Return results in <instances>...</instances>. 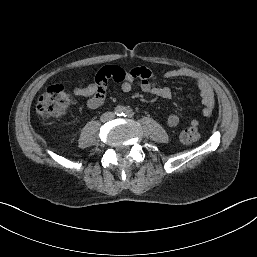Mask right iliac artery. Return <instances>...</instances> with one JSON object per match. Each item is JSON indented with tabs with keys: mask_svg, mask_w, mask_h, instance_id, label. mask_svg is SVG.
<instances>
[{
	"mask_svg": "<svg viewBox=\"0 0 257 257\" xmlns=\"http://www.w3.org/2000/svg\"><path fill=\"white\" fill-rule=\"evenodd\" d=\"M123 113H124V108L118 107V108L116 109V114H117L118 116H122Z\"/></svg>",
	"mask_w": 257,
	"mask_h": 257,
	"instance_id": "right-iliac-artery-1",
	"label": "right iliac artery"
}]
</instances>
